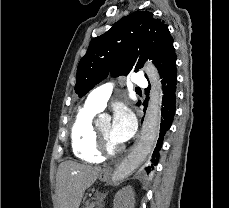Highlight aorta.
<instances>
[{
	"label": "aorta",
	"mask_w": 229,
	"mask_h": 208,
	"mask_svg": "<svg viewBox=\"0 0 229 208\" xmlns=\"http://www.w3.org/2000/svg\"><path fill=\"white\" fill-rule=\"evenodd\" d=\"M145 71L149 78L151 89L141 136L132 152L114 171L113 182L123 180L139 168L150 154L159 132L163 95L162 83L158 70L152 63L145 65ZM108 118L105 114L100 115L101 120Z\"/></svg>",
	"instance_id": "762f6f07"
}]
</instances>
